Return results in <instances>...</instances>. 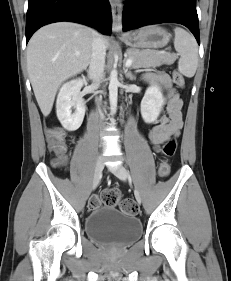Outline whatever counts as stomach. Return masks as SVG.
Returning <instances> with one entry per match:
<instances>
[{
    "label": "stomach",
    "mask_w": 231,
    "mask_h": 281,
    "mask_svg": "<svg viewBox=\"0 0 231 281\" xmlns=\"http://www.w3.org/2000/svg\"><path fill=\"white\" fill-rule=\"evenodd\" d=\"M122 39L132 48H162L168 44L170 34L162 27L151 25L128 32Z\"/></svg>",
    "instance_id": "1"
}]
</instances>
